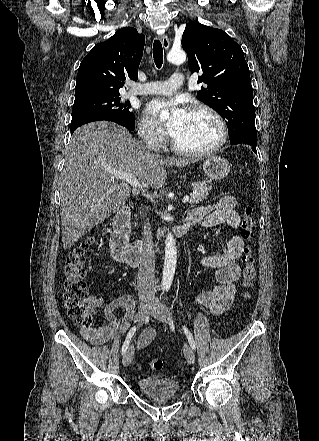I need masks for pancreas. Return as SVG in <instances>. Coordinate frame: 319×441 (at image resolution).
I'll return each mask as SVG.
<instances>
[{"label":"pancreas","mask_w":319,"mask_h":441,"mask_svg":"<svg viewBox=\"0 0 319 441\" xmlns=\"http://www.w3.org/2000/svg\"><path fill=\"white\" fill-rule=\"evenodd\" d=\"M194 193H191L190 203L199 204L207 199L209 191L212 189V183L209 180L199 181L192 184Z\"/></svg>","instance_id":"cf45deb5"}]
</instances>
